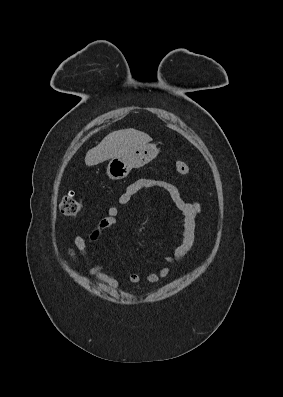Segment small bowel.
<instances>
[{
    "label": "small bowel",
    "mask_w": 283,
    "mask_h": 397,
    "mask_svg": "<svg viewBox=\"0 0 283 397\" xmlns=\"http://www.w3.org/2000/svg\"><path fill=\"white\" fill-rule=\"evenodd\" d=\"M145 188H153L167 192L182 216L183 231L181 243L175 248L172 255L165 258L169 263L179 262L190 252L194 245L196 218L201 213V207L197 202L185 201L181 197L177 186L165 180L141 178L130 184L125 192L119 197L117 204L111 206L108 209L107 214L100 218L97 226L90 234V240L92 242L98 241L105 229L114 226L116 224L117 217L120 214L121 206L129 203L139 191ZM73 243L75 248L72 246L67 248L70 258L76 262L77 250L89 264V268L86 271V274L89 277L100 283L106 284L113 289H117L119 287L118 280L104 271L103 264L92 261L85 237L82 234H77L74 237ZM169 275L170 268L162 267L157 272L148 274L145 277V280L150 284H156L161 279L167 278ZM127 279L131 284H138L141 281V277L137 273H130Z\"/></svg>",
    "instance_id": "1"
}]
</instances>
